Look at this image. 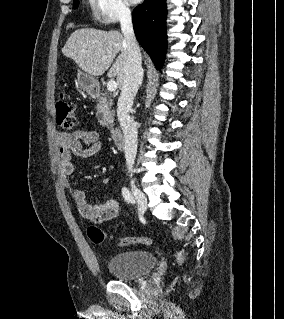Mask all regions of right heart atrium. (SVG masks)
Wrapping results in <instances>:
<instances>
[{"mask_svg": "<svg viewBox=\"0 0 284 319\" xmlns=\"http://www.w3.org/2000/svg\"><path fill=\"white\" fill-rule=\"evenodd\" d=\"M95 18L102 24L111 25L128 19L131 10L126 0H90Z\"/></svg>", "mask_w": 284, "mask_h": 319, "instance_id": "obj_1", "label": "right heart atrium"}]
</instances>
